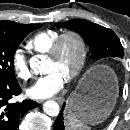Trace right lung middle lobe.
Segmentation results:
<instances>
[{"label": "right lung middle lobe", "instance_id": "obj_1", "mask_svg": "<svg viewBox=\"0 0 130 130\" xmlns=\"http://www.w3.org/2000/svg\"><path fill=\"white\" fill-rule=\"evenodd\" d=\"M42 25L22 24L18 28H0V79L8 83H15L13 67L14 54L18 45L26 35Z\"/></svg>", "mask_w": 130, "mask_h": 130}]
</instances>
